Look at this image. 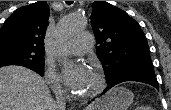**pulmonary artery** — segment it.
Wrapping results in <instances>:
<instances>
[{
	"label": "pulmonary artery",
	"mask_w": 171,
	"mask_h": 110,
	"mask_svg": "<svg viewBox=\"0 0 171 110\" xmlns=\"http://www.w3.org/2000/svg\"><path fill=\"white\" fill-rule=\"evenodd\" d=\"M93 46V38L89 33H80L70 39L66 49L70 54L81 55L88 52Z\"/></svg>",
	"instance_id": "obj_1"
}]
</instances>
